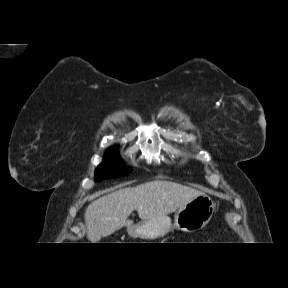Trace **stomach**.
I'll use <instances>...</instances> for the list:
<instances>
[{"instance_id":"1","label":"stomach","mask_w":288,"mask_h":288,"mask_svg":"<svg viewBox=\"0 0 288 288\" xmlns=\"http://www.w3.org/2000/svg\"><path fill=\"white\" fill-rule=\"evenodd\" d=\"M214 211L213 200L205 193H200L179 208L174 223L168 216H162L130 226L127 231L131 237L145 240L163 237L173 229L193 232L205 227Z\"/></svg>"}]
</instances>
